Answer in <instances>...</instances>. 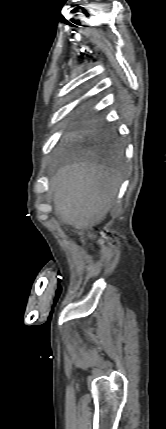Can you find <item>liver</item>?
<instances>
[{
	"instance_id": "liver-1",
	"label": "liver",
	"mask_w": 166,
	"mask_h": 429,
	"mask_svg": "<svg viewBox=\"0 0 166 429\" xmlns=\"http://www.w3.org/2000/svg\"><path fill=\"white\" fill-rule=\"evenodd\" d=\"M120 180L118 172L90 162L61 167L51 181L55 214L77 230L99 224L115 202Z\"/></svg>"
}]
</instances>
